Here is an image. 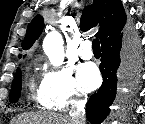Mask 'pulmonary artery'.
Instances as JSON below:
<instances>
[{
	"mask_svg": "<svg viewBox=\"0 0 145 124\" xmlns=\"http://www.w3.org/2000/svg\"><path fill=\"white\" fill-rule=\"evenodd\" d=\"M79 56L84 60H89L93 57L91 45L88 41H84L81 43V46L79 49Z\"/></svg>",
	"mask_w": 145,
	"mask_h": 124,
	"instance_id": "1",
	"label": "pulmonary artery"
}]
</instances>
